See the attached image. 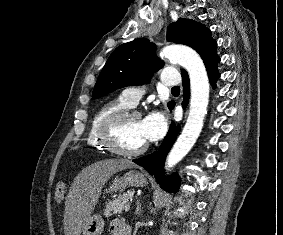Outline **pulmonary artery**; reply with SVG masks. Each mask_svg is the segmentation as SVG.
<instances>
[{
    "label": "pulmonary artery",
    "mask_w": 283,
    "mask_h": 235,
    "mask_svg": "<svg viewBox=\"0 0 283 235\" xmlns=\"http://www.w3.org/2000/svg\"><path fill=\"white\" fill-rule=\"evenodd\" d=\"M180 80L179 73L175 69L165 70L161 77V81L166 86H177ZM145 93L143 88L140 87H128L122 92V98L130 106H134L141 99Z\"/></svg>",
    "instance_id": "e3ab8cb5"
}]
</instances>
